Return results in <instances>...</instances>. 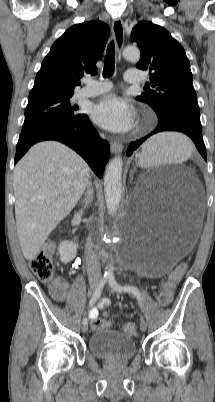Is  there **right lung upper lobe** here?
I'll use <instances>...</instances> for the list:
<instances>
[{"label":"right lung upper lobe","instance_id":"obj_1","mask_svg":"<svg viewBox=\"0 0 215 402\" xmlns=\"http://www.w3.org/2000/svg\"><path fill=\"white\" fill-rule=\"evenodd\" d=\"M109 33V27L98 20L69 28L44 58L29 97L73 95L84 74L97 73L96 62L103 54Z\"/></svg>","mask_w":215,"mask_h":402}]
</instances>
